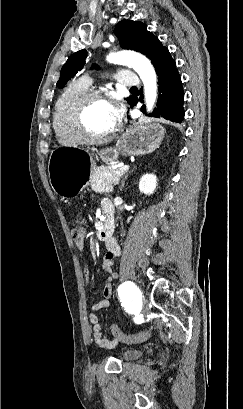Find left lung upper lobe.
Instances as JSON below:
<instances>
[{"mask_svg":"<svg viewBox=\"0 0 243 409\" xmlns=\"http://www.w3.org/2000/svg\"><path fill=\"white\" fill-rule=\"evenodd\" d=\"M146 28L147 26L142 22L123 20L115 26L114 34L122 48L143 53L152 61L157 71L173 59L169 50ZM86 58L87 51L85 49L72 54L61 69L57 85H65L70 78L74 77L84 67ZM93 68H98V66L94 64ZM134 99L135 97L130 96L127 101L131 105Z\"/></svg>","mask_w":243,"mask_h":409,"instance_id":"obj_1","label":"left lung upper lobe"}]
</instances>
